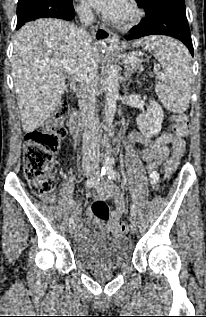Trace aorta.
Masks as SVG:
<instances>
[{"instance_id": "obj_1", "label": "aorta", "mask_w": 206, "mask_h": 317, "mask_svg": "<svg viewBox=\"0 0 206 317\" xmlns=\"http://www.w3.org/2000/svg\"><path fill=\"white\" fill-rule=\"evenodd\" d=\"M105 89V116L108 127L112 126L116 112L117 100L119 97V69L112 65L108 68L107 76L104 82ZM111 164L109 154L105 156V165Z\"/></svg>"}]
</instances>
